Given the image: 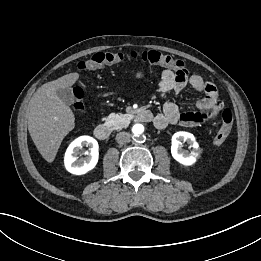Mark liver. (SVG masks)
<instances>
[{
  "instance_id": "1",
  "label": "liver",
  "mask_w": 261,
  "mask_h": 261,
  "mask_svg": "<svg viewBox=\"0 0 261 261\" xmlns=\"http://www.w3.org/2000/svg\"><path fill=\"white\" fill-rule=\"evenodd\" d=\"M79 74H66L37 89L28 105V130L42 157L53 162L64 137L74 129L75 117L56 91L76 83Z\"/></svg>"
}]
</instances>
